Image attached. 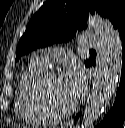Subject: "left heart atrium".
Returning a JSON list of instances; mask_svg holds the SVG:
<instances>
[{
    "label": "left heart atrium",
    "mask_w": 125,
    "mask_h": 128,
    "mask_svg": "<svg viewBox=\"0 0 125 128\" xmlns=\"http://www.w3.org/2000/svg\"><path fill=\"white\" fill-rule=\"evenodd\" d=\"M60 80L72 100H75L85 87V77L82 69L72 63L65 67Z\"/></svg>",
    "instance_id": "left-heart-atrium-1"
}]
</instances>
